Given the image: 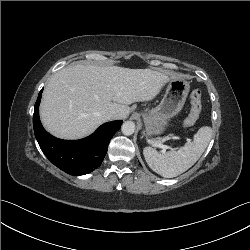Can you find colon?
I'll list each match as a JSON object with an SVG mask.
<instances>
[{"mask_svg": "<svg viewBox=\"0 0 250 250\" xmlns=\"http://www.w3.org/2000/svg\"><path fill=\"white\" fill-rule=\"evenodd\" d=\"M191 109L187 118L183 122V128L191 127L198 119L202 107V93L199 89L193 90L190 96Z\"/></svg>", "mask_w": 250, "mask_h": 250, "instance_id": "1", "label": "colon"}]
</instances>
